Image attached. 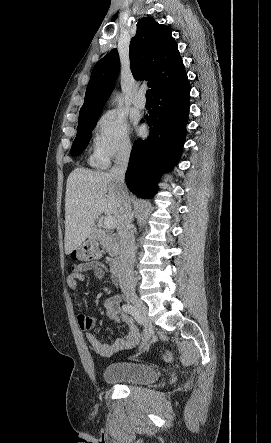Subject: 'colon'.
<instances>
[{
  "mask_svg": "<svg viewBox=\"0 0 271 443\" xmlns=\"http://www.w3.org/2000/svg\"><path fill=\"white\" fill-rule=\"evenodd\" d=\"M98 255H99L98 249L96 248V246L94 244L84 243V244L80 245L78 248H76L75 250H73L70 253L69 258H70V260H72L74 262L88 263V262H92L93 260H95ZM165 359L171 360L172 354L170 352H167L165 354Z\"/></svg>",
  "mask_w": 271,
  "mask_h": 443,
  "instance_id": "1",
  "label": "colon"
}]
</instances>
